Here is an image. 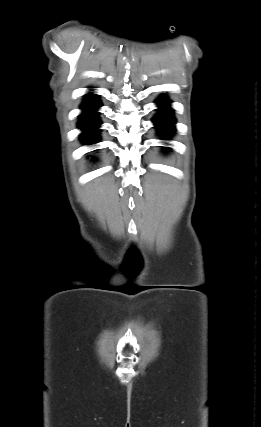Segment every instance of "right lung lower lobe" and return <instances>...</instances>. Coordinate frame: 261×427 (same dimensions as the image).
Wrapping results in <instances>:
<instances>
[{
    "instance_id": "right-lung-lower-lobe-1",
    "label": "right lung lower lobe",
    "mask_w": 261,
    "mask_h": 427,
    "mask_svg": "<svg viewBox=\"0 0 261 427\" xmlns=\"http://www.w3.org/2000/svg\"><path fill=\"white\" fill-rule=\"evenodd\" d=\"M101 106L98 97L94 94L85 96V101L81 108L83 113L80 115L79 128L83 131L81 139L85 143H95L99 137L98 126L101 124L96 109Z\"/></svg>"
}]
</instances>
